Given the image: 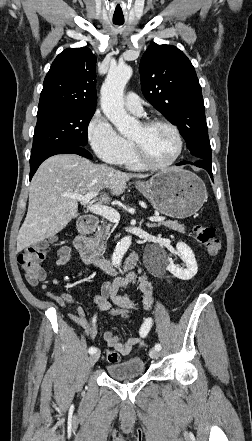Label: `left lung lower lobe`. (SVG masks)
I'll return each instance as SVG.
<instances>
[{
  "mask_svg": "<svg viewBox=\"0 0 252 441\" xmlns=\"http://www.w3.org/2000/svg\"><path fill=\"white\" fill-rule=\"evenodd\" d=\"M198 166L205 168L207 172L209 173L211 179L213 180V174H212V168H211V161L210 160H204V159H198L197 162H195ZM185 164H193L189 161H182L178 163L177 165H185Z\"/></svg>",
  "mask_w": 252,
  "mask_h": 441,
  "instance_id": "1",
  "label": "left lung lower lobe"
}]
</instances>
